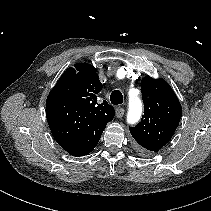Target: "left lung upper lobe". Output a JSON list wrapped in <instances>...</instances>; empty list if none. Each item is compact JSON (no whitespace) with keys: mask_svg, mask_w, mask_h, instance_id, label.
<instances>
[{"mask_svg":"<svg viewBox=\"0 0 211 211\" xmlns=\"http://www.w3.org/2000/svg\"><path fill=\"white\" fill-rule=\"evenodd\" d=\"M144 115L130 133L139 150L158 152L174 135L182 115L180 102L162 78L146 76L141 80Z\"/></svg>","mask_w":211,"mask_h":211,"instance_id":"5c2ea615","label":"left lung upper lobe"}]
</instances>
